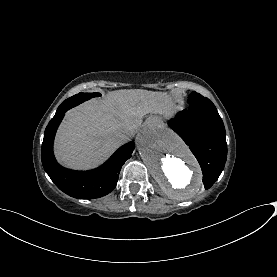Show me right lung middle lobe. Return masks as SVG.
Wrapping results in <instances>:
<instances>
[{"label": "right lung middle lobe", "instance_id": "dd1d6c3e", "mask_svg": "<svg viewBox=\"0 0 277 277\" xmlns=\"http://www.w3.org/2000/svg\"><path fill=\"white\" fill-rule=\"evenodd\" d=\"M100 95H101L100 93H79L66 99L61 105L69 106V108H72L92 97L100 96Z\"/></svg>", "mask_w": 277, "mask_h": 277}]
</instances>
